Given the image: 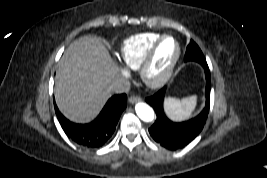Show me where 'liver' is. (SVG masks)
<instances>
[{"instance_id": "liver-1", "label": "liver", "mask_w": 267, "mask_h": 178, "mask_svg": "<svg viewBox=\"0 0 267 178\" xmlns=\"http://www.w3.org/2000/svg\"><path fill=\"white\" fill-rule=\"evenodd\" d=\"M118 78V69L103 43L85 35L73 41L58 63L55 100L70 120L84 123L102 109L111 92L109 85Z\"/></svg>"}]
</instances>
